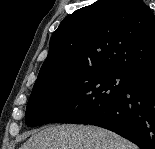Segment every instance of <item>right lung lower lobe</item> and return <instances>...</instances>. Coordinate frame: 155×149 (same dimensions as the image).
Listing matches in <instances>:
<instances>
[{
	"label": "right lung lower lobe",
	"instance_id": "right-lung-lower-lobe-1",
	"mask_svg": "<svg viewBox=\"0 0 155 149\" xmlns=\"http://www.w3.org/2000/svg\"><path fill=\"white\" fill-rule=\"evenodd\" d=\"M82 124L111 130L141 149H155V69L131 74L123 94L97 118Z\"/></svg>",
	"mask_w": 155,
	"mask_h": 149
}]
</instances>
